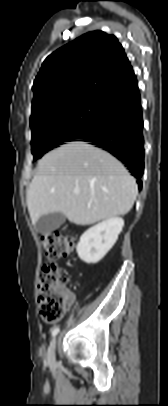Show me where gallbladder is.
Instances as JSON below:
<instances>
[{"label":"gallbladder","mask_w":168,"mask_h":406,"mask_svg":"<svg viewBox=\"0 0 168 406\" xmlns=\"http://www.w3.org/2000/svg\"><path fill=\"white\" fill-rule=\"evenodd\" d=\"M66 221V217L62 213H49L42 215L35 224L37 232L42 234H49L53 230L59 228Z\"/></svg>","instance_id":"obj_1"}]
</instances>
